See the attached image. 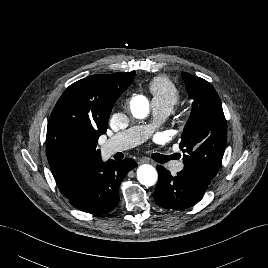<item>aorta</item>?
Wrapping results in <instances>:
<instances>
[{"label":"aorta","mask_w":268,"mask_h":268,"mask_svg":"<svg viewBox=\"0 0 268 268\" xmlns=\"http://www.w3.org/2000/svg\"><path fill=\"white\" fill-rule=\"evenodd\" d=\"M130 109L135 118H146L150 112L149 101L145 96L137 95L132 98ZM137 179L142 185L152 186L157 182L158 174L153 166L143 164L137 169Z\"/></svg>","instance_id":"762f6f07"}]
</instances>
